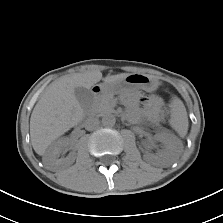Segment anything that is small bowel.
<instances>
[{
    "mask_svg": "<svg viewBox=\"0 0 223 223\" xmlns=\"http://www.w3.org/2000/svg\"><path fill=\"white\" fill-rule=\"evenodd\" d=\"M143 101H147L148 102V107H149V112L151 114H155L159 111L162 102L159 98L155 97V96H151L149 98L144 99Z\"/></svg>",
    "mask_w": 223,
    "mask_h": 223,
    "instance_id": "small-bowel-1",
    "label": "small bowel"
}]
</instances>
